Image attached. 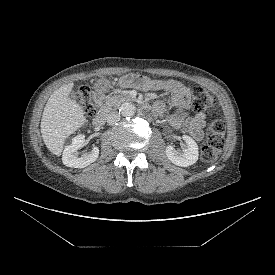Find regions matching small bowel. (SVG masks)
I'll return each instance as SVG.
<instances>
[{"label": "small bowel", "mask_w": 275, "mask_h": 275, "mask_svg": "<svg viewBox=\"0 0 275 275\" xmlns=\"http://www.w3.org/2000/svg\"><path fill=\"white\" fill-rule=\"evenodd\" d=\"M123 87H136L146 91H164L171 93L173 111L169 116V122L176 128H182L195 140L203 139L205 126V114L198 112L191 116V91L180 81L175 79H150L137 74L123 76L120 80ZM166 102L159 100L153 105V112L162 116L166 110Z\"/></svg>", "instance_id": "c3829d8e"}]
</instances>
